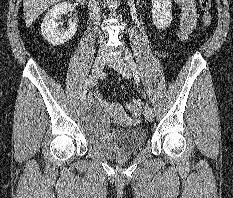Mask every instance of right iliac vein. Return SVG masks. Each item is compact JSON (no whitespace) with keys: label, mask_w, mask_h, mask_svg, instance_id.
Masks as SVG:
<instances>
[{"label":"right iliac vein","mask_w":233,"mask_h":198,"mask_svg":"<svg viewBox=\"0 0 233 198\" xmlns=\"http://www.w3.org/2000/svg\"><path fill=\"white\" fill-rule=\"evenodd\" d=\"M107 54L105 52H99L97 54V57L95 59V62L93 64V68H92V75H93V78H98L100 76V74L102 73L103 71V68L105 66V63L107 62ZM90 101H91V97L88 96L87 98H85V100L82 101L81 103V108H86L89 104H90Z\"/></svg>","instance_id":"1"}]
</instances>
